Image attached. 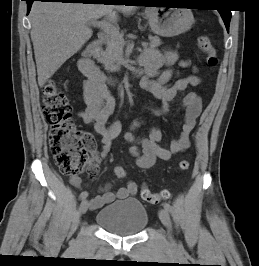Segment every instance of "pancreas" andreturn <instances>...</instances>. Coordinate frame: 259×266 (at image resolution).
Here are the masks:
<instances>
[{
    "instance_id": "cf45deb5",
    "label": "pancreas",
    "mask_w": 259,
    "mask_h": 266,
    "mask_svg": "<svg viewBox=\"0 0 259 266\" xmlns=\"http://www.w3.org/2000/svg\"><path fill=\"white\" fill-rule=\"evenodd\" d=\"M150 48L154 49L161 45V40L157 36H150ZM126 42L123 38L109 37L106 43V49L99 57L98 61L102 63L105 70L108 72H117L120 70V65H124L123 48Z\"/></svg>"
}]
</instances>
